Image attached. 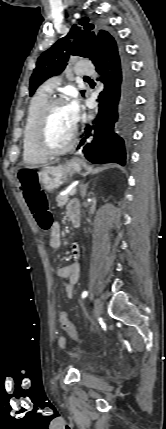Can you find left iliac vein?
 <instances>
[{
  "label": "left iliac vein",
  "mask_w": 166,
  "mask_h": 429,
  "mask_svg": "<svg viewBox=\"0 0 166 429\" xmlns=\"http://www.w3.org/2000/svg\"><path fill=\"white\" fill-rule=\"evenodd\" d=\"M103 310V304L100 299H96L94 304L95 317L98 318L101 316Z\"/></svg>",
  "instance_id": "4c4485c4"
}]
</instances>
